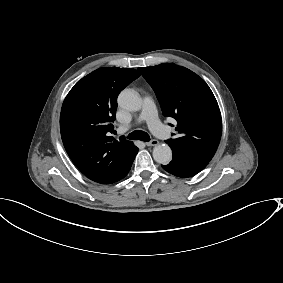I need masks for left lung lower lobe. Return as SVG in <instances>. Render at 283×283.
I'll use <instances>...</instances> for the list:
<instances>
[{
	"label": "left lung lower lobe",
	"mask_w": 283,
	"mask_h": 283,
	"mask_svg": "<svg viewBox=\"0 0 283 283\" xmlns=\"http://www.w3.org/2000/svg\"><path fill=\"white\" fill-rule=\"evenodd\" d=\"M172 161L168 165H161L164 170L177 177L187 178L203 170L209 161L186 153L173 150Z\"/></svg>",
	"instance_id": "left-lung-lower-lobe-1"
}]
</instances>
